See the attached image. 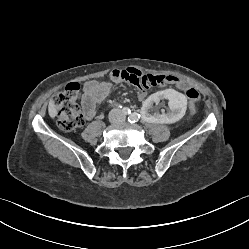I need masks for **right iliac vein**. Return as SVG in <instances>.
<instances>
[{
	"instance_id": "63e3f726",
	"label": "right iliac vein",
	"mask_w": 249,
	"mask_h": 249,
	"mask_svg": "<svg viewBox=\"0 0 249 249\" xmlns=\"http://www.w3.org/2000/svg\"><path fill=\"white\" fill-rule=\"evenodd\" d=\"M109 121L112 123V124H115L117 121H118V112L117 111H114L110 114L109 116Z\"/></svg>"
}]
</instances>
